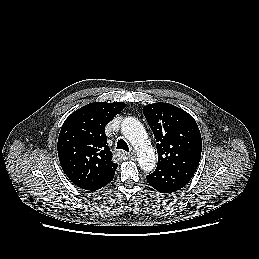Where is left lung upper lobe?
Returning a JSON list of instances; mask_svg holds the SVG:
<instances>
[{
    "instance_id": "left-lung-upper-lobe-1",
    "label": "left lung upper lobe",
    "mask_w": 259,
    "mask_h": 259,
    "mask_svg": "<svg viewBox=\"0 0 259 259\" xmlns=\"http://www.w3.org/2000/svg\"><path fill=\"white\" fill-rule=\"evenodd\" d=\"M156 138V169L170 170L190 181L201 157L202 139L193 117L169 103H154L143 108Z\"/></svg>"
}]
</instances>
